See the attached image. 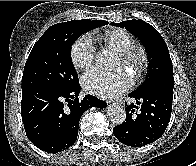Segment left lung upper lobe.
I'll list each match as a JSON object with an SVG mask.
<instances>
[{"mask_svg":"<svg viewBox=\"0 0 196 166\" xmlns=\"http://www.w3.org/2000/svg\"><path fill=\"white\" fill-rule=\"evenodd\" d=\"M111 25L124 27L138 37L144 45L149 59V71L142 85L134 93L143 92L154 87L173 89L174 77L172 61L167 45L158 31L143 20H128Z\"/></svg>","mask_w":196,"mask_h":166,"instance_id":"5c2ea615","label":"left lung upper lobe"}]
</instances>
